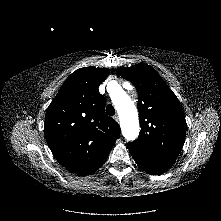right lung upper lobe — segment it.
I'll return each mask as SVG.
<instances>
[{
    "mask_svg": "<svg viewBox=\"0 0 221 221\" xmlns=\"http://www.w3.org/2000/svg\"><path fill=\"white\" fill-rule=\"evenodd\" d=\"M109 69L84 67L73 72L49 105L44 132L55 158L73 173L97 165L120 135L118 123L104 112L98 91Z\"/></svg>",
    "mask_w": 221,
    "mask_h": 221,
    "instance_id": "cb5924a9",
    "label": "right lung upper lobe"
}]
</instances>
